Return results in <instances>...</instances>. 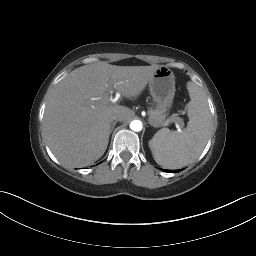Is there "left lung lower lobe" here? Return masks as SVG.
I'll use <instances>...</instances> for the list:
<instances>
[{"instance_id":"0a47b994","label":"left lung lower lobe","mask_w":256,"mask_h":256,"mask_svg":"<svg viewBox=\"0 0 256 256\" xmlns=\"http://www.w3.org/2000/svg\"><path fill=\"white\" fill-rule=\"evenodd\" d=\"M164 171H166V172H179L181 170H164Z\"/></svg>"}]
</instances>
